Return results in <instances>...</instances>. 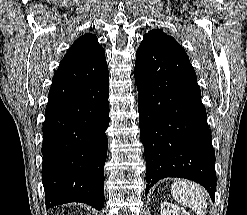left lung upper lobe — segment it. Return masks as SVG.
Segmentation results:
<instances>
[{
    "instance_id": "5c2ea615",
    "label": "left lung upper lobe",
    "mask_w": 247,
    "mask_h": 215,
    "mask_svg": "<svg viewBox=\"0 0 247 215\" xmlns=\"http://www.w3.org/2000/svg\"><path fill=\"white\" fill-rule=\"evenodd\" d=\"M143 40L156 41L162 44L170 45L185 52L182 46L173 37L165 34L159 29L149 31L146 35H144Z\"/></svg>"
}]
</instances>
